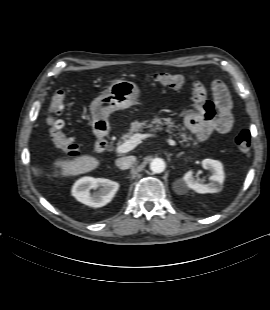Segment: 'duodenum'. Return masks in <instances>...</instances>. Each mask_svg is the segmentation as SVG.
I'll list each match as a JSON object with an SVG mask.
<instances>
[{
    "mask_svg": "<svg viewBox=\"0 0 270 310\" xmlns=\"http://www.w3.org/2000/svg\"><path fill=\"white\" fill-rule=\"evenodd\" d=\"M109 146V143L108 141L102 137V138H99L97 143H96V150L98 152H104Z\"/></svg>",
    "mask_w": 270,
    "mask_h": 310,
    "instance_id": "obj_1",
    "label": "duodenum"
}]
</instances>
